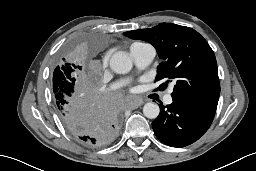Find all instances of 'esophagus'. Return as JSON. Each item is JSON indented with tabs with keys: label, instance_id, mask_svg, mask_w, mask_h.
<instances>
[{
	"label": "esophagus",
	"instance_id": "34e87169",
	"mask_svg": "<svg viewBox=\"0 0 256 171\" xmlns=\"http://www.w3.org/2000/svg\"><path fill=\"white\" fill-rule=\"evenodd\" d=\"M142 104H143L142 99H133L127 103V107L131 110H134V109H137Z\"/></svg>",
	"mask_w": 256,
	"mask_h": 171
}]
</instances>
